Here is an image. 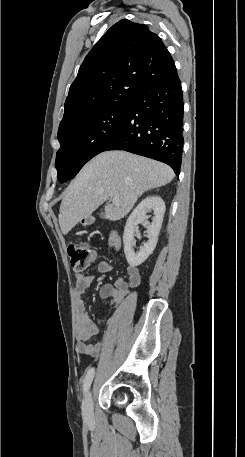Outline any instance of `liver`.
I'll return each mask as SVG.
<instances>
[{
    "instance_id": "obj_1",
    "label": "liver",
    "mask_w": 245,
    "mask_h": 457,
    "mask_svg": "<svg viewBox=\"0 0 245 457\" xmlns=\"http://www.w3.org/2000/svg\"><path fill=\"white\" fill-rule=\"evenodd\" d=\"M174 176L168 164L126 150L97 154L65 190L59 214L61 233L67 235L79 220L114 196H118L119 204H106L104 216L109 220L124 218L144 190L163 186Z\"/></svg>"
}]
</instances>
